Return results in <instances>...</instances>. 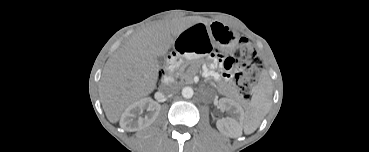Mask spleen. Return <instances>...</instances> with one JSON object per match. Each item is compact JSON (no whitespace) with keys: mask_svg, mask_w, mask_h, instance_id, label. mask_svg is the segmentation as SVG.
<instances>
[{"mask_svg":"<svg viewBox=\"0 0 369 152\" xmlns=\"http://www.w3.org/2000/svg\"><path fill=\"white\" fill-rule=\"evenodd\" d=\"M272 88L268 78H262L246 110L245 130L255 131L271 106Z\"/></svg>","mask_w":369,"mask_h":152,"instance_id":"obj_1","label":"spleen"}]
</instances>
